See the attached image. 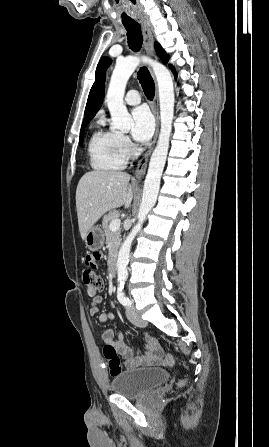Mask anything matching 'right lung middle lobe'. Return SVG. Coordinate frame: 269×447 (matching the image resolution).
<instances>
[{
    "label": "right lung middle lobe",
    "instance_id": "dd1d6c3e",
    "mask_svg": "<svg viewBox=\"0 0 269 447\" xmlns=\"http://www.w3.org/2000/svg\"><path fill=\"white\" fill-rule=\"evenodd\" d=\"M86 126H87V124L82 126V128H81L79 145H81L83 143L84 129H85Z\"/></svg>",
    "mask_w": 269,
    "mask_h": 447
}]
</instances>
